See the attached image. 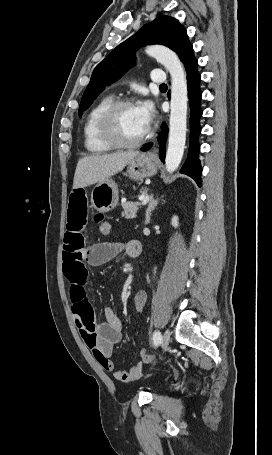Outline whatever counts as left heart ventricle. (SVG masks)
Here are the masks:
<instances>
[{
    "instance_id": "obj_1",
    "label": "left heart ventricle",
    "mask_w": 272,
    "mask_h": 455,
    "mask_svg": "<svg viewBox=\"0 0 272 455\" xmlns=\"http://www.w3.org/2000/svg\"><path fill=\"white\" fill-rule=\"evenodd\" d=\"M116 129L120 138L124 141L137 140L146 132L137 106L123 108L118 113Z\"/></svg>"
}]
</instances>
